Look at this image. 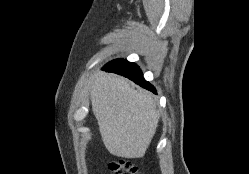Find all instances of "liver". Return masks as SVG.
Returning <instances> with one entry per match:
<instances>
[{"mask_svg":"<svg viewBox=\"0 0 249 174\" xmlns=\"http://www.w3.org/2000/svg\"><path fill=\"white\" fill-rule=\"evenodd\" d=\"M90 95L106 149L117 157H143L159 122L151 96L123 77L104 72L94 76Z\"/></svg>","mask_w":249,"mask_h":174,"instance_id":"liver-1","label":"liver"}]
</instances>
